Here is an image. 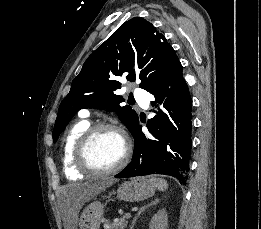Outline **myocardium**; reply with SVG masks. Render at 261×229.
<instances>
[{
  "label": "myocardium",
  "mask_w": 261,
  "mask_h": 229,
  "mask_svg": "<svg viewBox=\"0 0 261 229\" xmlns=\"http://www.w3.org/2000/svg\"><path fill=\"white\" fill-rule=\"evenodd\" d=\"M102 131H112L119 134L124 142V154L120 162L108 169L95 166L89 157L90 146L94 138ZM131 145L125 131L117 125L102 123L89 127L79 138L75 146V163L83 171L92 175L107 176L122 170L129 162Z\"/></svg>",
  "instance_id": "f54148a6"
}]
</instances>
